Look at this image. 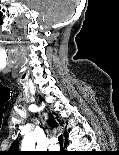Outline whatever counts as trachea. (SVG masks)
Instances as JSON below:
<instances>
[{
	"label": "trachea",
	"mask_w": 119,
	"mask_h": 155,
	"mask_svg": "<svg viewBox=\"0 0 119 155\" xmlns=\"http://www.w3.org/2000/svg\"><path fill=\"white\" fill-rule=\"evenodd\" d=\"M58 141H59V144H60V145H63L64 139H63V136H62V135H59Z\"/></svg>",
	"instance_id": "3493384b"
}]
</instances>
